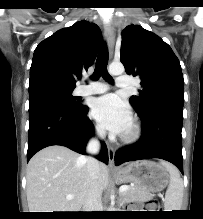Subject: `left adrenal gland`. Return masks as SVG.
Masks as SVG:
<instances>
[{"instance_id": "1", "label": "left adrenal gland", "mask_w": 203, "mask_h": 219, "mask_svg": "<svg viewBox=\"0 0 203 219\" xmlns=\"http://www.w3.org/2000/svg\"><path fill=\"white\" fill-rule=\"evenodd\" d=\"M120 196H121V195H120ZM120 200H122V198H121ZM122 204H123V201H122ZM122 204H120V206H121Z\"/></svg>"}]
</instances>
